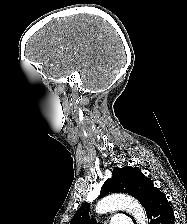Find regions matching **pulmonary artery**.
I'll use <instances>...</instances> for the list:
<instances>
[{
    "label": "pulmonary artery",
    "mask_w": 187,
    "mask_h": 224,
    "mask_svg": "<svg viewBox=\"0 0 187 224\" xmlns=\"http://www.w3.org/2000/svg\"><path fill=\"white\" fill-rule=\"evenodd\" d=\"M110 224H132V221L125 217H115L110 221Z\"/></svg>",
    "instance_id": "e3ab8cb5"
}]
</instances>
